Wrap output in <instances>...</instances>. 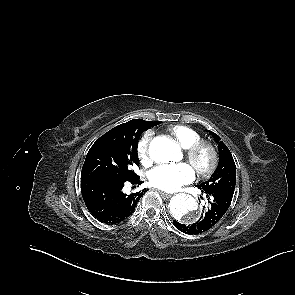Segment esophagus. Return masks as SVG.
Instances as JSON below:
<instances>
[{"instance_id":"34e87169","label":"esophagus","mask_w":295,"mask_h":295,"mask_svg":"<svg viewBox=\"0 0 295 295\" xmlns=\"http://www.w3.org/2000/svg\"><path fill=\"white\" fill-rule=\"evenodd\" d=\"M159 193L161 194V196L165 197V198H171L173 195L169 194V193H165L163 191H159Z\"/></svg>"}]
</instances>
